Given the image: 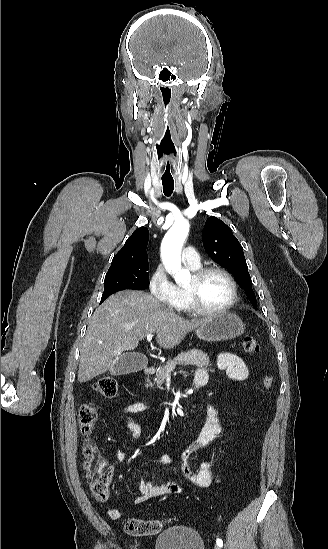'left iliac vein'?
I'll return each mask as SVG.
<instances>
[{
    "label": "left iliac vein",
    "mask_w": 328,
    "mask_h": 549,
    "mask_svg": "<svg viewBox=\"0 0 328 549\" xmlns=\"http://www.w3.org/2000/svg\"><path fill=\"white\" fill-rule=\"evenodd\" d=\"M214 549H221V548H220V546L215 545V546H214Z\"/></svg>",
    "instance_id": "1"
}]
</instances>
